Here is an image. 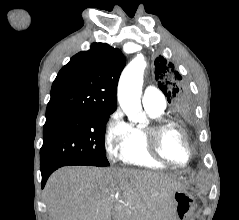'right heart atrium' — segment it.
Returning a JSON list of instances; mask_svg holds the SVG:
<instances>
[{"label":"right heart atrium","mask_w":239,"mask_h":220,"mask_svg":"<svg viewBox=\"0 0 239 220\" xmlns=\"http://www.w3.org/2000/svg\"><path fill=\"white\" fill-rule=\"evenodd\" d=\"M131 138V126L120 108L109 115L104 129V145L112 159L119 157L120 150Z\"/></svg>","instance_id":"1"}]
</instances>
